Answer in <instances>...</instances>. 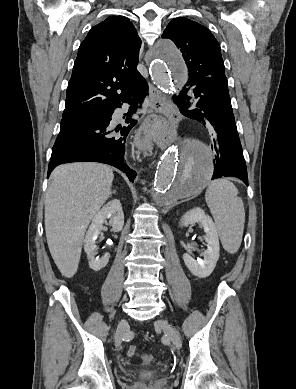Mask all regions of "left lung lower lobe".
<instances>
[{"label":"left lung lower lobe","instance_id":"left-lung-lower-lobe-1","mask_svg":"<svg viewBox=\"0 0 296 389\" xmlns=\"http://www.w3.org/2000/svg\"><path fill=\"white\" fill-rule=\"evenodd\" d=\"M193 86L192 96H187L186 89L180 93V111L213 130L212 150L215 153L214 174L212 179L222 176L237 177L248 186L247 168L239 140L237 127L231 106L226 78L187 82ZM190 104L197 108L188 110Z\"/></svg>","mask_w":296,"mask_h":389}]
</instances>
